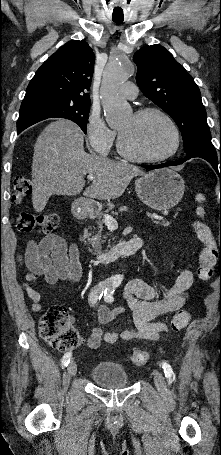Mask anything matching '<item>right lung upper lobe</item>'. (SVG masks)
<instances>
[{
  "label": "right lung upper lobe",
  "instance_id": "cb5924a9",
  "mask_svg": "<svg viewBox=\"0 0 221 455\" xmlns=\"http://www.w3.org/2000/svg\"><path fill=\"white\" fill-rule=\"evenodd\" d=\"M95 55L86 41H69L50 56L30 81L21 105L88 102Z\"/></svg>",
  "mask_w": 221,
  "mask_h": 455
}]
</instances>
